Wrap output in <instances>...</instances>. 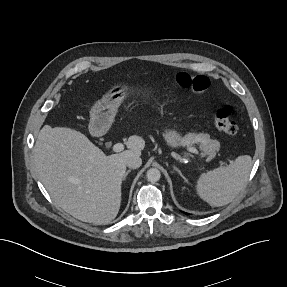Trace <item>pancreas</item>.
<instances>
[{"mask_svg":"<svg viewBox=\"0 0 287 287\" xmlns=\"http://www.w3.org/2000/svg\"><path fill=\"white\" fill-rule=\"evenodd\" d=\"M180 143L181 145L200 143L201 150L209 155L210 158H213L220 148V143L217 140L211 139L208 134L204 133H189L181 139Z\"/></svg>","mask_w":287,"mask_h":287,"instance_id":"1","label":"pancreas"}]
</instances>
